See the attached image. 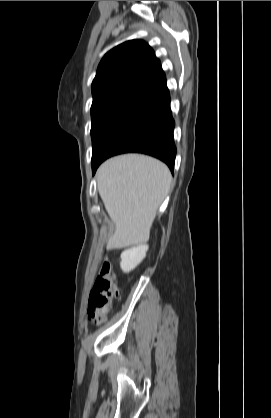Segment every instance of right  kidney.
I'll list each match as a JSON object with an SVG mask.
<instances>
[{
    "mask_svg": "<svg viewBox=\"0 0 271 418\" xmlns=\"http://www.w3.org/2000/svg\"><path fill=\"white\" fill-rule=\"evenodd\" d=\"M148 250V245H139L137 247H132L122 252L120 267L123 272L129 273L141 263L145 258L146 252Z\"/></svg>",
    "mask_w": 271,
    "mask_h": 418,
    "instance_id": "right-kidney-1",
    "label": "right kidney"
}]
</instances>
